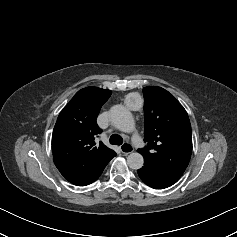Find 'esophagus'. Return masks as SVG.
<instances>
[{"label":"esophagus","instance_id":"1","mask_svg":"<svg viewBox=\"0 0 237 237\" xmlns=\"http://www.w3.org/2000/svg\"><path fill=\"white\" fill-rule=\"evenodd\" d=\"M120 151H121L123 154L127 155V154H130V153L133 152V147H132L130 144L125 143V144H123V145L120 146Z\"/></svg>","mask_w":237,"mask_h":237}]
</instances>
